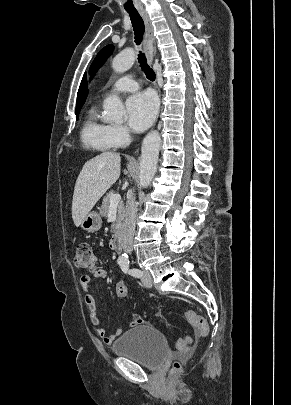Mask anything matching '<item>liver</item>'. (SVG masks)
Here are the masks:
<instances>
[{"label":"liver","mask_w":291,"mask_h":405,"mask_svg":"<svg viewBox=\"0 0 291 405\" xmlns=\"http://www.w3.org/2000/svg\"><path fill=\"white\" fill-rule=\"evenodd\" d=\"M120 162V154L103 152L84 164L76 180L72 201V218L77 227L119 178Z\"/></svg>","instance_id":"1"}]
</instances>
